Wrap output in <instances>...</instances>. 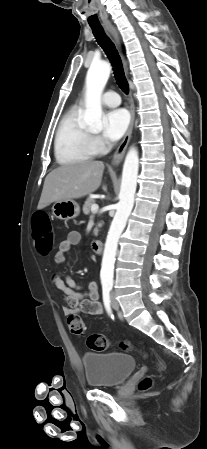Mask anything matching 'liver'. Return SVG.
I'll list each match as a JSON object with an SVG mask.
<instances>
[{
  "label": "liver",
  "mask_w": 207,
  "mask_h": 449,
  "mask_svg": "<svg viewBox=\"0 0 207 449\" xmlns=\"http://www.w3.org/2000/svg\"><path fill=\"white\" fill-rule=\"evenodd\" d=\"M103 171L104 163L101 161H84L54 169L45 179L37 208L91 194L99 188Z\"/></svg>",
  "instance_id": "obj_1"
}]
</instances>
